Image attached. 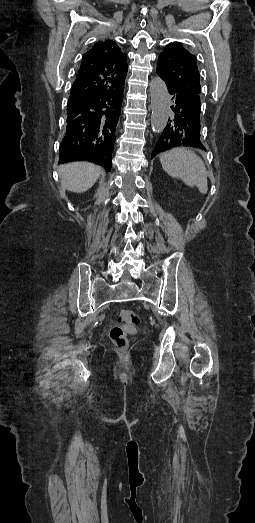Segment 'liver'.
<instances>
[{"label": "liver", "mask_w": 255, "mask_h": 523, "mask_svg": "<svg viewBox=\"0 0 255 523\" xmlns=\"http://www.w3.org/2000/svg\"><path fill=\"white\" fill-rule=\"evenodd\" d=\"M58 172L63 188H66L69 192L82 194L97 182L101 168L91 164V162H72V164L59 166Z\"/></svg>", "instance_id": "6515ba94"}]
</instances>
